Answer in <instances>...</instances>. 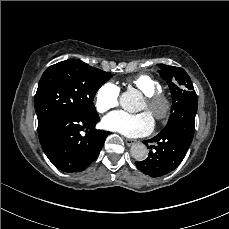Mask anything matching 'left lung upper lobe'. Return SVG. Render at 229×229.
I'll return each instance as SVG.
<instances>
[{
    "mask_svg": "<svg viewBox=\"0 0 229 229\" xmlns=\"http://www.w3.org/2000/svg\"><path fill=\"white\" fill-rule=\"evenodd\" d=\"M159 74L169 85L172 94L171 115L162 131H184L193 137L197 95L186 71L179 67L159 64Z\"/></svg>",
    "mask_w": 229,
    "mask_h": 229,
    "instance_id": "1",
    "label": "left lung upper lobe"
}]
</instances>
